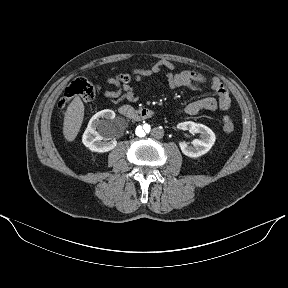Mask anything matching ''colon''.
I'll return each instance as SVG.
<instances>
[{
    "label": "colon",
    "mask_w": 288,
    "mask_h": 288,
    "mask_svg": "<svg viewBox=\"0 0 288 288\" xmlns=\"http://www.w3.org/2000/svg\"><path fill=\"white\" fill-rule=\"evenodd\" d=\"M117 80L122 83H128L131 81V76L125 73L119 74ZM97 92L98 87L94 83L84 78H77L66 88L64 95L59 101V108L64 110L67 104L74 98H79L85 102L91 101L95 98ZM222 123L223 130L226 133H232L234 131L235 125L231 117L224 116Z\"/></svg>",
    "instance_id": "colon-1"
}]
</instances>
